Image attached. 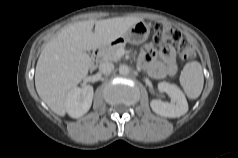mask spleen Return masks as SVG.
<instances>
[{
    "instance_id": "obj_1",
    "label": "spleen",
    "mask_w": 238,
    "mask_h": 158,
    "mask_svg": "<svg viewBox=\"0 0 238 158\" xmlns=\"http://www.w3.org/2000/svg\"><path fill=\"white\" fill-rule=\"evenodd\" d=\"M180 83L189 98H198L204 84L201 64L197 61L187 63L181 72Z\"/></svg>"
}]
</instances>
